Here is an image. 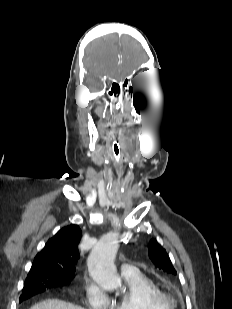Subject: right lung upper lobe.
Wrapping results in <instances>:
<instances>
[{"label":"right lung upper lobe","mask_w":232,"mask_h":309,"mask_svg":"<svg viewBox=\"0 0 232 309\" xmlns=\"http://www.w3.org/2000/svg\"><path fill=\"white\" fill-rule=\"evenodd\" d=\"M81 237L79 226L71 224L60 229L48 240L36 255L28 276L49 273L72 279L79 256L78 244Z\"/></svg>","instance_id":"1"}]
</instances>
